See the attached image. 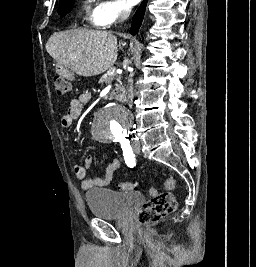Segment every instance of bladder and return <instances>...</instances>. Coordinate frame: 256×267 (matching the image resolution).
I'll return each instance as SVG.
<instances>
[{
  "mask_svg": "<svg viewBox=\"0 0 256 267\" xmlns=\"http://www.w3.org/2000/svg\"><path fill=\"white\" fill-rule=\"evenodd\" d=\"M86 201L92 215L110 219L128 215L138 204L144 203V197L143 195H122L120 192L106 189H94L86 192Z\"/></svg>",
  "mask_w": 256,
  "mask_h": 267,
  "instance_id": "1",
  "label": "bladder"
}]
</instances>
